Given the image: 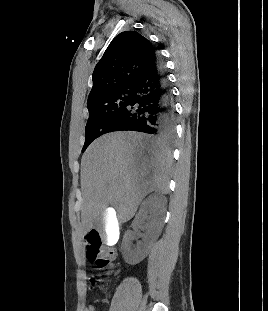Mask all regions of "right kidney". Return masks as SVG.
Wrapping results in <instances>:
<instances>
[{
  "instance_id": "1",
  "label": "right kidney",
  "mask_w": 268,
  "mask_h": 311,
  "mask_svg": "<svg viewBox=\"0 0 268 311\" xmlns=\"http://www.w3.org/2000/svg\"><path fill=\"white\" fill-rule=\"evenodd\" d=\"M166 205V197L159 194H152L142 202L132 224L133 230L126 232L122 243L123 257L127 263L138 264L147 256L162 231ZM139 229L144 231L142 241L133 245Z\"/></svg>"
}]
</instances>
